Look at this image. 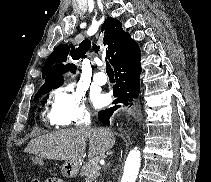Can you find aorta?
<instances>
[{"label":"aorta","mask_w":211,"mask_h":182,"mask_svg":"<svg viewBox=\"0 0 211 182\" xmlns=\"http://www.w3.org/2000/svg\"><path fill=\"white\" fill-rule=\"evenodd\" d=\"M140 164V151L137 149L131 150L125 162L124 173L121 182H135L140 169Z\"/></svg>","instance_id":"aorta-1"}]
</instances>
